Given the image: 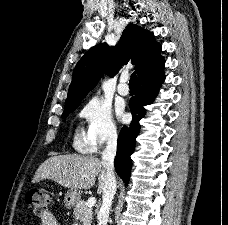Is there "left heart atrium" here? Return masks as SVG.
<instances>
[{
	"label": "left heart atrium",
	"instance_id": "39dd6f15",
	"mask_svg": "<svg viewBox=\"0 0 228 225\" xmlns=\"http://www.w3.org/2000/svg\"><path fill=\"white\" fill-rule=\"evenodd\" d=\"M119 118L122 119V120L124 119L123 113H119Z\"/></svg>",
	"mask_w": 228,
	"mask_h": 225
}]
</instances>
